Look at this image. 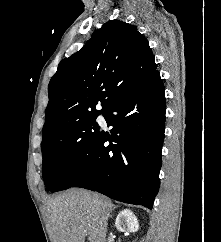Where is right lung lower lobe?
Wrapping results in <instances>:
<instances>
[{
    "label": "right lung lower lobe",
    "instance_id": "1",
    "mask_svg": "<svg viewBox=\"0 0 221 242\" xmlns=\"http://www.w3.org/2000/svg\"><path fill=\"white\" fill-rule=\"evenodd\" d=\"M165 112L164 86L156 70L103 113L113 127L111 135L100 131L52 192L82 187L152 209L160 185Z\"/></svg>",
    "mask_w": 221,
    "mask_h": 242
}]
</instances>
